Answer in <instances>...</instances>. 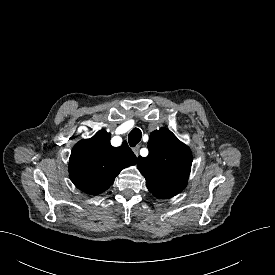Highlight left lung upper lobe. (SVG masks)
Masks as SVG:
<instances>
[{
	"label": "left lung upper lobe",
	"instance_id": "left-lung-upper-lobe-1",
	"mask_svg": "<svg viewBox=\"0 0 275 275\" xmlns=\"http://www.w3.org/2000/svg\"><path fill=\"white\" fill-rule=\"evenodd\" d=\"M149 154L138 157L137 167L146 179L148 190L157 198H171L187 186L192 153L167 128L151 133Z\"/></svg>",
	"mask_w": 275,
	"mask_h": 275
}]
</instances>
